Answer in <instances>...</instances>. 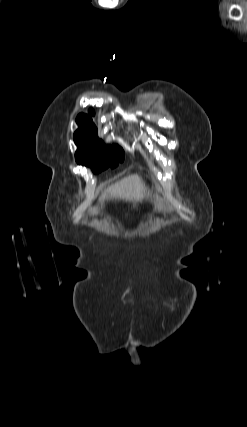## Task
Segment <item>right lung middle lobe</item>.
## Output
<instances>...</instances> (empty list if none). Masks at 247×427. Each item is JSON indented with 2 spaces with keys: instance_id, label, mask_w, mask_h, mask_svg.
I'll list each match as a JSON object with an SVG mask.
<instances>
[{
  "instance_id": "right-lung-middle-lobe-1",
  "label": "right lung middle lobe",
  "mask_w": 247,
  "mask_h": 427,
  "mask_svg": "<svg viewBox=\"0 0 247 427\" xmlns=\"http://www.w3.org/2000/svg\"><path fill=\"white\" fill-rule=\"evenodd\" d=\"M74 142L77 163L91 167L93 173L115 168L124 160L123 149L118 145H104L97 137V129L79 128L74 133Z\"/></svg>"
}]
</instances>
